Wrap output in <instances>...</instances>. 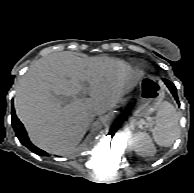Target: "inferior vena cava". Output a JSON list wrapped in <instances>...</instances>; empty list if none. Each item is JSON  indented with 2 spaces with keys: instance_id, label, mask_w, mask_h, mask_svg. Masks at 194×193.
I'll list each match as a JSON object with an SVG mask.
<instances>
[{
  "instance_id": "inferior-vena-cava-1",
  "label": "inferior vena cava",
  "mask_w": 194,
  "mask_h": 193,
  "mask_svg": "<svg viewBox=\"0 0 194 193\" xmlns=\"http://www.w3.org/2000/svg\"><path fill=\"white\" fill-rule=\"evenodd\" d=\"M98 114H101V111H100V110H96V111L93 113V116H94V117H97Z\"/></svg>"
}]
</instances>
